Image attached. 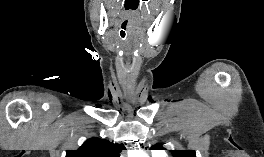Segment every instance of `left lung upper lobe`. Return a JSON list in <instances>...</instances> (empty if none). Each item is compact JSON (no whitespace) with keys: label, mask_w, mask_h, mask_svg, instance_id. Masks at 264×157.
<instances>
[{"label":"left lung upper lobe","mask_w":264,"mask_h":157,"mask_svg":"<svg viewBox=\"0 0 264 157\" xmlns=\"http://www.w3.org/2000/svg\"><path fill=\"white\" fill-rule=\"evenodd\" d=\"M153 148L160 149L161 145L156 144ZM174 157H196L194 150H171Z\"/></svg>","instance_id":"5c2ea615"}]
</instances>
